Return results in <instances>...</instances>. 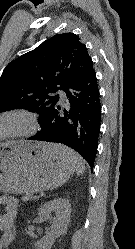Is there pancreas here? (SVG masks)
<instances>
[{
    "instance_id": "1",
    "label": "pancreas",
    "mask_w": 135,
    "mask_h": 249,
    "mask_svg": "<svg viewBox=\"0 0 135 249\" xmlns=\"http://www.w3.org/2000/svg\"><path fill=\"white\" fill-rule=\"evenodd\" d=\"M31 198H32V194H26V195L22 198V200H24V201H29V200H31Z\"/></svg>"
}]
</instances>
